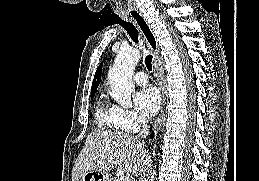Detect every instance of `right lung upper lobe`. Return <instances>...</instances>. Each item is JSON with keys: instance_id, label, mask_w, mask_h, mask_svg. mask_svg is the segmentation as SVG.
Listing matches in <instances>:
<instances>
[{"instance_id": "right-lung-upper-lobe-1", "label": "right lung upper lobe", "mask_w": 259, "mask_h": 181, "mask_svg": "<svg viewBox=\"0 0 259 181\" xmlns=\"http://www.w3.org/2000/svg\"><path fill=\"white\" fill-rule=\"evenodd\" d=\"M101 71H102V63L99 65V67L95 73L93 83H92V88H91V96H94V94L97 91V87H98L100 79H101Z\"/></svg>"}]
</instances>
